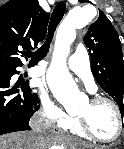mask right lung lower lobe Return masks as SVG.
<instances>
[{
  "instance_id": "98d812e1",
  "label": "right lung lower lobe",
  "mask_w": 124,
  "mask_h": 149,
  "mask_svg": "<svg viewBox=\"0 0 124 149\" xmlns=\"http://www.w3.org/2000/svg\"><path fill=\"white\" fill-rule=\"evenodd\" d=\"M16 73L0 69V135L30 130L29 120L39 109L38 96L28 85L10 84Z\"/></svg>"
}]
</instances>
